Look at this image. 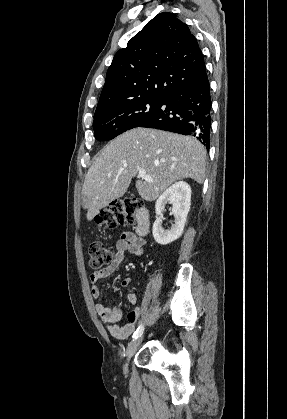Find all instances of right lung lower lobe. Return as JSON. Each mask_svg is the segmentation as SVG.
Instances as JSON below:
<instances>
[{"label": "right lung lower lobe", "instance_id": "1", "mask_svg": "<svg viewBox=\"0 0 287 419\" xmlns=\"http://www.w3.org/2000/svg\"><path fill=\"white\" fill-rule=\"evenodd\" d=\"M211 108V89L205 76L165 95L156 111L139 127L191 135L209 150Z\"/></svg>", "mask_w": 287, "mask_h": 419}]
</instances>
